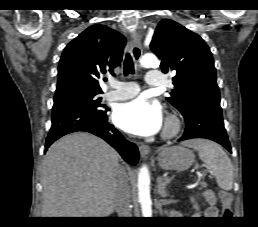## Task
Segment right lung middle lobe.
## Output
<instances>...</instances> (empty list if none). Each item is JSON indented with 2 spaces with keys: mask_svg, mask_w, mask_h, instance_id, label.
I'll return each mask as SVG.
<instances>
[{
  "mask_svg": "<svg viewBox=\"0 0 258 227\" xmlns=\"http://www.w3.org/2000/svg\"><path fill=\"white\" fill-rule=\"evenodd\" d=\"M100 93L81 90L70 89L58 92L54 97L53 109L61 107H74L99 117L106 116V110H103V105L100 104L101 98L98 97Z\"/></svg>",
  "mask_w": 258,
  "mask_h": 227,
  "instance_id": "1",
  "label": "right lung middle lobe"
}]
</instances>
